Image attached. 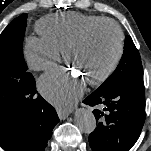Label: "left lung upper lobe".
Here are the masks:
<instances>
[{
	"instance_id": "left-lung-upper-lobe-1",
	"label": "left lung upper lobe",
	"mask_w": 151,
	"mask_h": 151,
	"mask_svg": "<svg viewBox=\"0 0 151 151\" xmlns=\"http://www.w3.org/2000/svg\"><path fill=\"white\" fill-rule=\"evenodd\" d=\"M143 68L139 51L130 36H126L124 53L116 70L94 92L100 93L113 89L120 82L133 75H142Z\"/></svg>"
}]
</instances>
